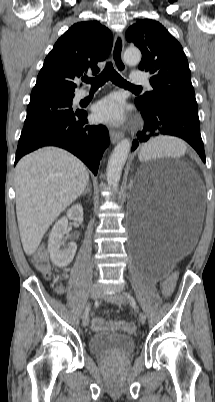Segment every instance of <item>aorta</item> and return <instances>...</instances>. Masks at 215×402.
Here are the masks:
<instances>
[{
	"label": "aorta",
	"instance_id": "1",
	"mask_svg": "<svg viewBox=\"0 0 215 402\" xmlns=\"http://www.w3.org/2000/svg\"><path fill=\"white\" fill-rule=\"evenodd\" d=\"M124 62L129 66L138 65L141 61V52L138 48H127L123 56ZM131 149V141L128 138L121 140L114 148L106 169L108 185L117 189L122 174L123 167Z\"/></svg>",
	"mask_w": 215,
	"mask_h": 402
}]
</instances>
